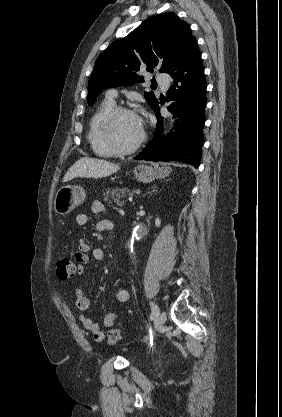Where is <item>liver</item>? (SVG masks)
Here are the masks:
<instances>
[{
	"label": "liver",
	"instance_id": "obj_1",
	"mask_svg": "<svg viewBox=\"0 0 282 417\" xmlns=\"http://www.w3.org/2000/svg\"><path fill=\"white\" fill-rule=\"evenodd\" d=\"M119 164L109 162V160H102V158H89L83 156L76 160L66 174H64L63 182L76 178V176H83V178H103V176H110L113 172L119 170Z\"/></svg>",
	"mask_w": 282,
	"mask_h": 417
}]
</instances>
